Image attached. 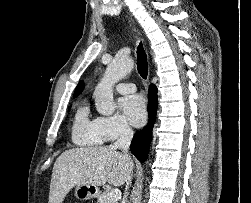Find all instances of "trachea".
<instances>
[{
	"mask_svg": "<svg viewBox=\"0 0 251 203\" xmlns=\"http://www.w3.org/2000/svg\"><path fill=\"white\" fill-rule=\"evenodd\" d=\"M137 70L143 79L147 78L148 76L147 54L141 43L139 44L137 48Z\"/></svg>",
	"mask_w": 251,
	"mask_h": 203,
	"instance_id": "1",
	"label": "trachea"
}]
</instances>
